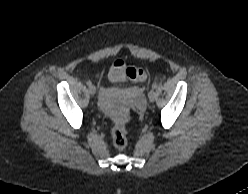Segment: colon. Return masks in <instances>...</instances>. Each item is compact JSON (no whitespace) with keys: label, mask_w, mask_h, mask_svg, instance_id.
I'll list each match as a JSON object with an SVG mask.
<instances>
[{"label":"colon","mask_w":248,"mask_h":194,"mask_svg":"<svg viewBox=\"0 0 248 194\" xmlns=\"http://www.w3.org/2000/svg\"><path fill=\"white\" fill-rule=\"evenodd\" d=\"M131 117L127 116L121 122L114 124L111 135L112 141L116 149L123 150L127 146L126 125L130 122Z\"/></svg>","instance_id":"colon-1"}]
</instances>
